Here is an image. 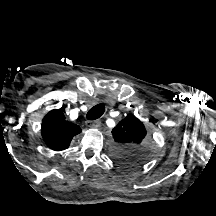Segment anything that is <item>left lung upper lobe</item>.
I'll list each match as a JSON object with an SVG mask.
<instances>
[{"label": "left lung upper lobe", "instance_id": "5c2ea615", "mask_svg": "<svg viewBox=\"0 0 216 216\" xmlns=\"http://www.w3.org/2000/svg\"><path fill=\"white\" fill-rule=\"evenodd\" d=\"M115 141L111 154L124 167L133 168L148 162L154 154V143L144 124L134 115L122 119L113 129Z\"/></svg>", "mask_w": 216, "mask_h": 216}]
</instances>
